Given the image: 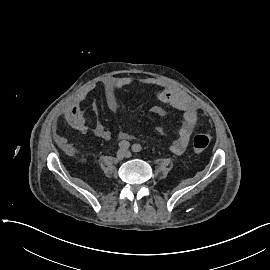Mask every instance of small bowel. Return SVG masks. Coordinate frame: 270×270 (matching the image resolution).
I'll return each instance as SVG.
<instances>
[{
    "instance_id": "obj_1",
    "label": "small bowel",
    "mask_w": 270,
    "mask_h": 270,
    "mask_svg": "<svg viewBox=\"0 0 270 270\" xmlns=\"http://www.w3.org/2000/svg\"><path fill=\"white\" fill-rule=\"evenodd\" d=\"M130 77H120L108 79L104 82V96L107 107L115 114L119 113L118 93L126 86L132 84ZM143 84L161 102L183 112V121L178 135L171 144V151L176 155H181L187 148L192 133L198 126V110L190 96L183 90L160 83L155 79H146ZM88 90L82 91L76 100L65 110L66 122L77 132L86 134L89 131L81 102L85 99ZM154 115H162L164 110L161 106L155 105L150 109ZM95 136L103 140L111 139V132L101 123L96 122L93 128ZM120 139H129L132 136L126 132L119 133Z\"/></svg>"
}]
</instances>
